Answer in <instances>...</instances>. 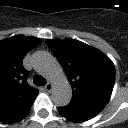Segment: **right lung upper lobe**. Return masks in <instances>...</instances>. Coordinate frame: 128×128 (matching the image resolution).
<instances>
[{"mask_svg": "<svg viewBox=\"0 0 128 128\" xmlns=\"http://www.w3.org/2000/svg\"><path fill=\"white\" fill-rule=\"evenodd\" d=\"M40 43V39L24 35L0 41V118L37 96L38 91L26 81L23 58Z\"/></svg>", "mask_w": 128, "mask_h": 128, "instance_id": "obj_1", "label": "right lung upper lobe"}]
</instances>
